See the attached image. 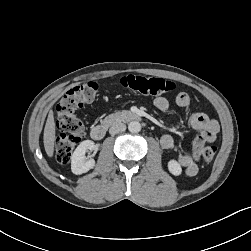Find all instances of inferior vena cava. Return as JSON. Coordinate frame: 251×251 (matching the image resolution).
<instances>
[{"instance_id": "602c4592", "label": "inferior vena cava", "mask_w": 251, "mask_h": 251, "mask_svg": "<svg viewBox=\"0 0 251 251\" xmlns=\"http://www.w3.org/2000/svg\"><path fill=\"white\" fill-rule=\"evenodd\" d=\"M125 130H126V125H125L124 123L118 122V123H114V124L110 127L109 133H110L111 135H115V134H118V133L123 132V131H125Z\"/></svg>"}]
</instances>
